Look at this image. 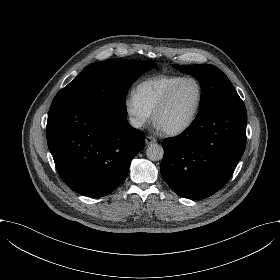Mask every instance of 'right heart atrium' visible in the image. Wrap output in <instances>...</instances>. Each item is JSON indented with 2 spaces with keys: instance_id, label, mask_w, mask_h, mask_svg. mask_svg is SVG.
Returning <instances> with one entry per match:
<instances>
[{
  "instance_id": "right-heart-atrium-1",
  "label": "right heart atrium",
  "mask_w": 280,
  "mask_h": 280,
  "mask_svg": "<svg viewBox=\"0 0 280 280\" xmlns=\"http://www.w3.org/2000/svg\"><path fill=\"white\" fill-rule=\"evenodd\" d=\"M124 107L126 114L135 127L145 125L152 118V113L138 101L134 93L127 96Z\"/></svg>"
}]
</instances>
